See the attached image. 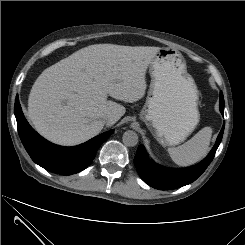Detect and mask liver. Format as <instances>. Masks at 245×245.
Returning a JSON list of instances; mask_svg holds the SVG:
<instances>
[{
	"instance_id": "liver-1",
	"label": "liver",
	"mask_w": 245,
	"mask_h": 245,
	"mask_svg": "<svg viewBox=\"0 0 245 245\" xmlns=\"http://www.w3.org/2000/svg\"><path fill=\"white\" fill-rule=\"evenodd\" d=\"M159 47L95 44L45 69L28 98V116L48 140L81 144L112 126L125 107L145 95L146 70ZM111 120L104 122V117Z\"/></svg>"
}]
</instances>
